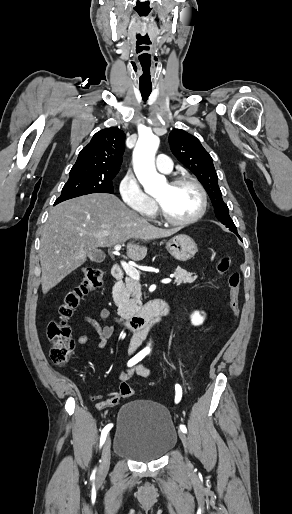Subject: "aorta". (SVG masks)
<instances>
[{"label":"aorta","mask_w":292,"mask_h":514,"mask_svg":"<svg viewBox=\"0 0 292 514\" xmlns=\"http://www.w3.org/2000/svg\"><path fill=\"white\" fill-rule=\"evenodd\" d=\"M159 138L154 134L140 136L134 150V172L145 192L154 196L158 188L165 186V176L157 174L154 158L158 150Z\"/></svg>","instance_id":"1"}]
</instances>
